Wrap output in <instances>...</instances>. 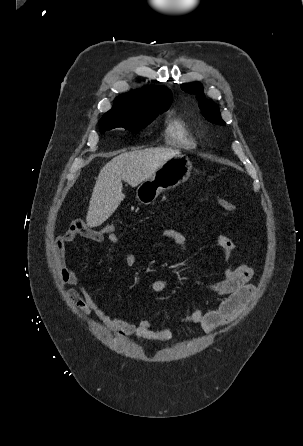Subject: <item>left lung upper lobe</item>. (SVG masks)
<instances>
[{
	"label": "left lung upper lobe",
	"instance_id": "1",
	"mask_svg": "<svg viewBox=\"0 0 303 446\" xmlns=\"http://www.w3.org/2000/svg\"><path fill=\"white\" fill-rule=\"evenodd\" d=\"M181 87L187 93L196 94L199 101V106L202 110V114L209 122L219 125H225V122L222 120L217 106L210 100L205 99L201 84H182Z\"/></svg>",
	"mask_w": 303,
	"mask_h": 446
}]
</instances>
